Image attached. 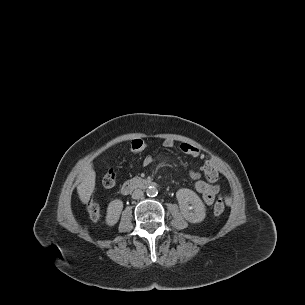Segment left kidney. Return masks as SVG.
I'll return each instance as SVG.
<instances>
[{"label":"left kidney","mask_w":305,"mask_h":305,"mask_svg":"<svg viewBox=\"0 0 305 305\" xmlns=\"http://www.w3.org/2000/svg\"><path fill=\"white\" fill-rule=\"evenodd\" d=\"M176 198L181 214L188 222L199 223L205 219V205L194 191L187 188L179 189Z\"/></svg>","instance_id":"5707ae66"}]
</instances>
